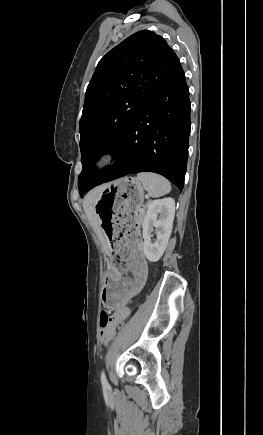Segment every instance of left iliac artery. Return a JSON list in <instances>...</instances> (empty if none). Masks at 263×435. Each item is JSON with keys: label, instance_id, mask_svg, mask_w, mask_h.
Listing matches in <instances>:
<instances>
[{"label": "left iliac artery", "instance_id": "1", "mask_svg": "<svg viewBox=\"0 0 263 435\" xmlns=\"http://www.w3.org/2000/svg\"><path fill=\"white\" fill-rule=\"evenodd\" d=\"M101 382H102V385L104 387H108L109 386L104 371H102V373H101Z\"/></svg>", "mask_w": 263, "mask_h": 435}]
</instances>
